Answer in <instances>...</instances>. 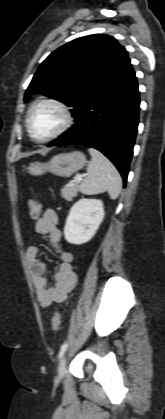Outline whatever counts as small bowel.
Wrapping results in <instances>:
<instances>
[{
    "instance_id": "obj_1",
    "label": "small bowel",
    "mask_w": 165,
    "mask_h": 419,
    "mask_svg": "<svg viewBox=\"0 0 165 419\" xmlns=\"http://www.w3.org/2000/svg\"><path fill=\"white\" fill-rule=\"evenodd\" d=\"M58 220L56 211L53 208H47L35 222L36 231L49 238L60 259L52 284L46 276L47 265L40 258L39 248L32 245L26 251L36 298L42 307L65 301L77 280L72 267L73 254L64 249L61 244L62 233L58 228Z\"/></svg>"
}]
</instances>
